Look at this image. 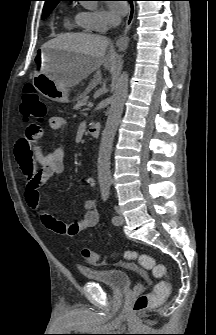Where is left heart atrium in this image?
Wrapping results in <instances>:
<instances>
[{
    "label": "left heart atrium",
    "mask_w": 216,
    "mask_h": 335,
    "mask_svg": "<svg viewBox=\"0 0 216 335\" xmlns=\"http://www.w3.org/2000/svg\"><path fill=\"white\" fill-rule=\"evenodd\" d=\"M109 7L116 17L123 16L128 11L126 3L123 1H113L109 4Z\"/></svg>",
    "instance_id": "1"
}]
</instances>
